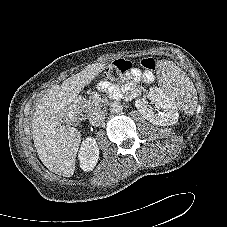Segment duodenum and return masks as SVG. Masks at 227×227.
<instances>
[{"instance_id":"1","label":"duodenum","mask_w":227,"mask_h":227,"mask_svg":"<svg viewBox=\"0 0 227 227\" xmlns=\"http://www.w3.org/2000/svg\"><path fill=\"white\" fill-rule=\"evenodd\" d=\"M70 120L75 123V124H79L80 123V119L78 117V115L74 112L71 113L70 115Z\"/></svg>"}]
</instances>
